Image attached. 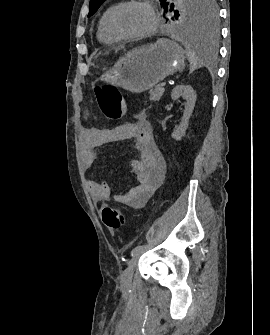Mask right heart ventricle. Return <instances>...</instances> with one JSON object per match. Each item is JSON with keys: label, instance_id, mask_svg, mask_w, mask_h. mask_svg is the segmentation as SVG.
Returning a JSON list of instances; mask_svg holds the SVG:
<instances>
[{"label": "right heart ventricle", "instance_id": "right-heart-ventricle-1", "mask_svg": "<svg viewBox=\"0 0 270 335\" xmlns=\"http://www.w3.org/2000/svg\"><path fill=\"white\" fill-rule=\"evenodd\" d=\"M119 4V1L111 3L107 6L104 11L102 12L97 29V38L98 40L106 45L113 44L115 42L120 41V38L115 37L112 35L107 27V19L110 12Z\"/></svg>", "mask_w": 270, "mask_h": 335}]
</instances>
